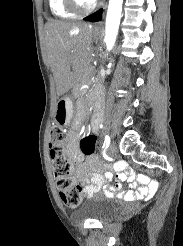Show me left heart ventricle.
Wrapping results in <instances>:
<instances>
[{"mask_svg": "<svg viewBox=\"0 0 183 246\" xmlns=\"http://www.w3.org/2000/svg\"><path fill=\"white\" fill-rule=\"evenodd\" d=\"M81 3H83V4H89V3H91L93 0H79Z\"/></svg>", "mask_w": 183, "mask_h": 246, "instance_id": "b2bd125f", "label": "left heart ventricle"}]
</instances>
